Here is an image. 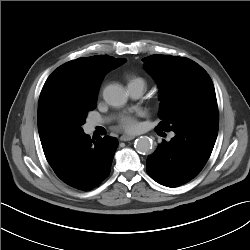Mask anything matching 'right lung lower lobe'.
I'll use <instances>...</instances> for the list:
<instances>
[{"instance_id":"1","label":"right lung lower lobe","mask_w":250,"mask_h":250,"mask_svg":"<svg viewBox=\"0 0 250 250\" xmlns=\"http://www.w3.org/2000/svg\"><path fill=\"white\" fill-rule=\"evenodd\" d=\"M118 140L90 138L84 132L42 145L55 174L67 185L84 191L97 187L109 174Z\"/></svg>"}]
</instances>
